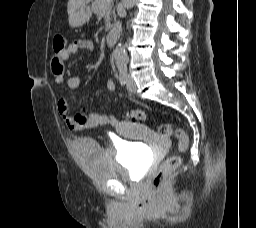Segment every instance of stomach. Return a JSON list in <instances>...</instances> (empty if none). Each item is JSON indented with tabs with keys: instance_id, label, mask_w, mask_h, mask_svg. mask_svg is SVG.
Segmentation results:
<instances>
[{
	"instance_id": "1",
	"label": "stomach",
	"mask_w": 256,
	"mask_h": 228,
	"mask_svg": "<svg viewBox=\"0 0 256 228\" xmlns=\"http://www.w3.org/2000/svg\"><path fill=\"white\" fill-rule=\"evenodd\" d=\"M91 15L92 11L89 6L80 7L69 15V24L71 27H81L89 21Z\"/></svg>"
}]
</instances>
